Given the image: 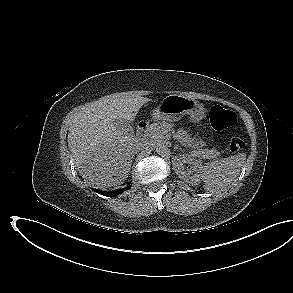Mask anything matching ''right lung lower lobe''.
Segmentation results:
<instances>
[{"instance_id": "right-lung-lower-lobe-1", "label": "right lung lower lobe", "mask_w": 293, "mask_h": 293, "mask_svg": "<svg viewBox=\"0 0 293 293\" xmlns=\"http://www.w3.org/2000/svg\"><path fill=\"white\" fill-rule=\"evenodd\" d=\"M130 187H131V186H128V187H126V188L119 189V190H118L117 192H115V193H113V192H110V193H109V192H103V191H101V190L94 189V188H93V190H94L95 192L99 193V194L104 195V196L114 197V196H116V195H118V194L124 192L125 190L130 189Z\"/></svg>"}]
</instances>
